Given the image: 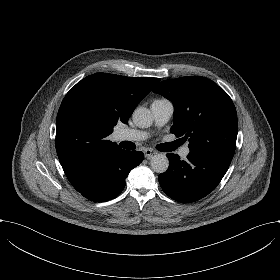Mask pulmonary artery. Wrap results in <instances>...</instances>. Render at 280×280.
<instances>
[{"label":"pulmonary artery","instance_id":"pulmonary-artery-1","mask_svg":"<svg viewBox=\"0 0 280 280\" xmlns=\"http://www.w3.org/2000/svg\"><path fill=\"white\" fill-rule=\"evenodd\" d=\"M153 120L157 126H164L171 119L174 106L168 99H155L151 104ZM148 137L145 131L126 129L120 132V140L139 142Z\"/></svg>","mask_w":280,"mask_h":280}]
</instances>
